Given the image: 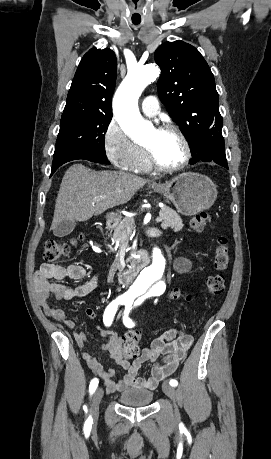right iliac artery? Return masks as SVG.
Returning <instances> with one entry per match:
<instances>
[{
  "label": "right iliac artery",
  "mask_w": 271,
  "mask_h": 459,
  "mask_svg": "<svg viewBox=\"0 0 271 459\" xmlns=\"http://www.w3.org/2000/svg\"><path fill=\"white\" fill-rule=\"evenodd\" d=\"M132 302L127 301L126 299L123 298H117L116 300H113L105 309L104 315H103V322L105 326H110L112 324L113 318L115 316V313L117 311L118 305H123ZM99 380L97 378H94L91 380L90 385H89V392L92 395L97 386H98ZM88 422L92 423V418L91 416L87 419Z\"/></svg>",
  "instance_id": "82829eb1"
}]
</instances>
